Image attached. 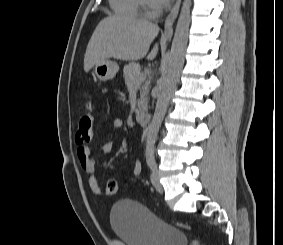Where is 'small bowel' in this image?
<instances>
[{"mask_svg": "<svg viewBox=\"0 0 283 245\" xmlns=\"http://www.w3.org/2000/svg\"><path fill=\"white\" fill-rule=\"evenodd\" d=\"M124 126V122L122 119H115L112 122L113 130L121 129ZM112 132L108 131L103 134L102 140L104 141L102 149L105 154H109L112 151L113 145L112 142L109 140L111 137ZM77 158L80 164L81 169L87 174L88 176V184L91 191L94 194L100 195L103 193L95 174V162L92 157L91 148L88 146H80L77 149ZM142 172V166L139 161H135L133 166V173L134 175H140Z\"/></svg>", "mask_w": 283, "mask_h": 245, "instance_id": "small-bowel-1", "label": "small bowel"}]
</instances>
